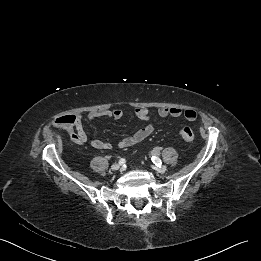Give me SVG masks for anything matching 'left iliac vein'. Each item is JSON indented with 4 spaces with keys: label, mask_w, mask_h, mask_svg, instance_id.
<instances>
[{
    "label": "left iliac vein",
    "mask_w": 261,
    "mask_h": 261,
    "mask_svg": "<svg viewBox=\"0 0 261 261\" xmlns=\"http://www.w3.org/2000/svg\"><path fill=\"white\" fill-rule=\"evenodd\" d=\"M154 169L159 172V173H165L167 171V167L166 166H158V167H154Z\"/></svg>",
    "instance_id": "1"
}]
</instances>
